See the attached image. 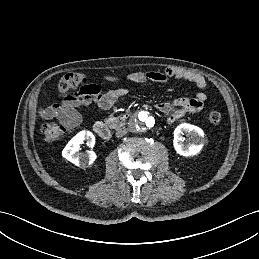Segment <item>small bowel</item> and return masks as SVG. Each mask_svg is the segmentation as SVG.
<instances>
[{
  "instance_id": "obj_1",
  "label": "small bowel",
  "mask_w": 259,
  "mask_h": 259,
  "mask_svg": "<svg viewBox=\"0 0 259 259\" xmlns=\"http://www.w3.org/2000/svg\"><path fill=\"white\" fill-rule=\"evenodd\" d=\"M169 78L183 79L192 82L200 89H205L208 85L206 78L202 74L180 68H166L149 72H132L127 75V79L136 84H144L148 81L164 84ZM102 79L110 83L119 82L117 76L107 75L103 76ZM127 93L128 90L123 87L104 92L98 85H86L72 95L65 97L59 103L42 108L40 114L44 119H57L61 124L73 128L81 122V115L78 108L96 105L103 110H108L112 108L119 99L126 96ZM206 99V94L200 91L190 98L183 97L159 102L156 108L168 114L167 121L169 124H172L187 113L200 112L204 107Z\"/></svg>"
}]
</instances>
